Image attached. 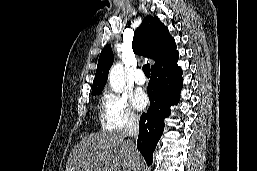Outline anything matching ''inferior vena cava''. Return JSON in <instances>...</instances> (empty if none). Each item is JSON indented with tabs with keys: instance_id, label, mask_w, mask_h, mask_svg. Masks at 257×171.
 Returning a JSON list of instances; mask_svg holds the SVG:
<instances>
[{
	"instance_id": "inferior-vena-cava-1",
	"label": "inferior vena cava",
	"mask_w": 257,
	"mask_h": 171,
	"mask_svg": "<svg viewBox=\"0 0 257 171\" xmlns=\"http://www.w3.org/2000/svg\"><path fill=\"white\" fill-rule=\"evenodd\" d=\"M124 136L137 137L139 134V117L135 114H131L123 132ZM133 171H139V165L136 164Z\"/></svg>"
}]
</instances>
